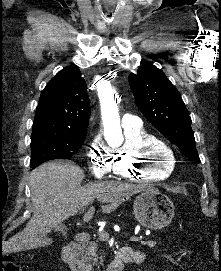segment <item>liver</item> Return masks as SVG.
<instances>
[{
    "label": "liver",
    "mask_w": 221,
    "mask_h": 271,
    "mask_svg": "<svg viewBox=\"0 0 221 271\" xmlns=\"http://www.w3.org/2000/svg\"><path fill=\"white\" fill-rule=\"evenodd\" d=\"M83 177V169L67 161H46L33 169L29 177L33 215L22 231L5 241V251L11 253L49 245L52 239L47 235L52 227L60 225L70 215H76L78 209L89 205L94 197L108 203L103 205V209H115L124 201L126 191H135L130 183L104 179L81 187Z\"/></svg>",
    "instance_id": "6515ba94"
}]
</instances>
